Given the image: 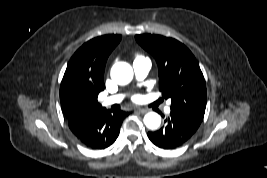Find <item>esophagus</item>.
Here are the masks:
<instances>
[{
	"label": "esophagus",
	"instance_id": "34e87169",
	"mask_svg": "<svg viewBox=\"0 0 267 178\" xmlns=\"http://www.w3.org/2000/svg\"><path fill=\"white\" fill-rule=\"evenodd\" d=\"M147 111H148V110L145 109V108H138V109H136V112L141 113V114H144V113H146Z\"/></svg>",
	"mask_w": 267,
	"mask_h": 178
}]
</instances>
